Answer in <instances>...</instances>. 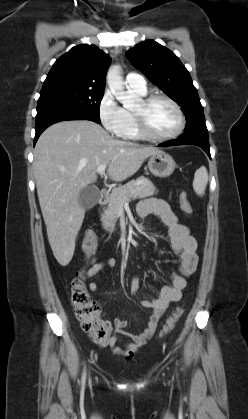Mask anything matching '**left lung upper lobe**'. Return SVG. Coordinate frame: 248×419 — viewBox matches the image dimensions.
<instances>
[{"label":"left lung upper lobe","instance_id":"1","mask_svg":"<svg viewBox=\"0 0 248 419\" xmlns=\"http://www.w3.org/2000/svg\"><path fill=\"white\" fill-rule=\"evenodd\" d=\"M126 56L151 82L182 107L187 121L184 131L206 126L197 89L188 70L172 51L153 40H147L128 50Z\"/></svg>","mask_w":248,"mask_h":419}]
</instances>
